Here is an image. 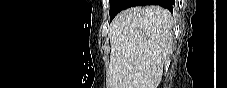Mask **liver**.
Returning <instances> with one entry per match:
<instances>
[{"label":"liver","instance_id":"obj_1","mask_svg":"<svg viewBox=\"0 0 227 88\" xmlns=\"http://www.w3.org/2000/svg\"><path fill=\"white\" fill-rule=\"evenodd\" d=\"M173 26L171 13L158 5L121 11L110 24L108 88H158Z\"/></svg>","mask_w":227,"mask_h":88}]
</instances>
